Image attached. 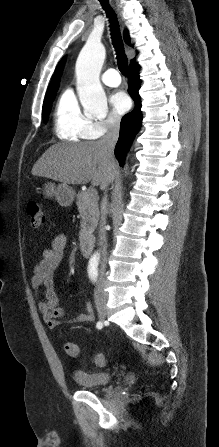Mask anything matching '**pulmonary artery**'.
Returning <instances> with one entry per match:
<instances>
[{
  "instance_id": "1",
  "label": "pulmonary artery",
  "mask_w": 219,
  "mask_h": 447,
  "mask_svg": "<svg viewBox=\"0 0 219 447\" xmlns=\"http://www.w3.org/2000/svg\"><path fill=\"white\" fill-rule=\"evenodd\" d=\"M102 81L107 86L117 87L121 83V77L117 70L111 68L103 73Z\"/></svg>"
}]
</instances>
